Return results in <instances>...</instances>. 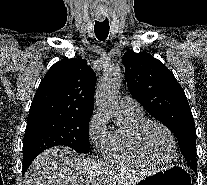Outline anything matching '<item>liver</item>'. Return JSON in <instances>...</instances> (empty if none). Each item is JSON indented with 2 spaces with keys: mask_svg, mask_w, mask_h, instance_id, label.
Instances as JSON below:
<instances>
[{
  "mask_svg": "<svg viewBox=\"0 0 207 185\" xmlns=\"http://www.w3.org/2000/svg\"><path fill=\"white\" fill-rule=\"evenodd\" d=\"M96 163L69 147H51L36 157L25 177L28 185H96Z\"/></svg>",
  "mask_w": 207,
  "mask_h": 185,
  "instance_id": "obj_1",
  "label": "liver"
}]
</instances>
